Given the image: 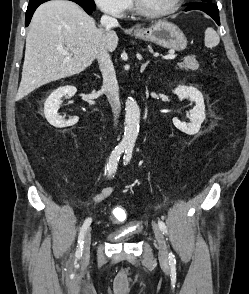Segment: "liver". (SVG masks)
<instances>
[{
	"label": "liver",
	"instance_id": "liver-1",
	"mask_svg": "<svg viewBox=\"0 0 249 294\" xmlns=\"http://www.w3.org/2000/svg\"><path fill=\"white\" fill-rule=\"evenodd\" d=\"M104 40L112 52L119 39L114 31L97 28L94 19L76 3L52 0L40 5L26 37L17 99L42 85L84 71L95 60ZM59 48L69 52L71 59L65 60Z\"/></svg>",
	"mask_w": 249,
	"mask_h": 294
}]
</instances>
